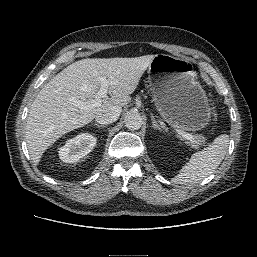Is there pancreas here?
I'll use <instances>...</instances> for the list:
<instances>
[{
    "instance_id": "cf45deb5",
    "label": "pancreas",
    "mask_w": 257,
    "mask_h": 257,
    "mask_svg": "<svg viewBox=\"0 0 257 257\" xmlns=\"http://www.w3.org/2000/svg\"><path fill=\"white\" fill-rule=\"evenodd\" d=\"M193 137H194V142L190 141V145L193 148L197 149L205 143V138L202 135H193Z\"/></svg>"
}]
</instances>
